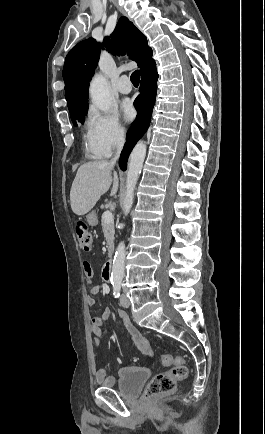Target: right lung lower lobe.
<instances>
[{
    "label": "right lung lower lobe",
    "instance_id": "1",
    "mask_svg": "<svg viewBox=\"0 0 265 434\" xmlns=\"http://www.w3.org/2000/svg\"><path fill=\"white\" fill-rule=\"evenodd\" d=\"M141 84L139 91L141 92L135 99L134 106L138 112L136 120L133 122L130 131L127 135V142L121 153L119 165L121 170L125 171L127 167V159L136 142L147 131L151 114L155 102L158 74L156 64L151 58L145 60L141 67Z\"/></svg>",
    "mask_w": 265,
    "mask_h": 434
}]
</instances>
